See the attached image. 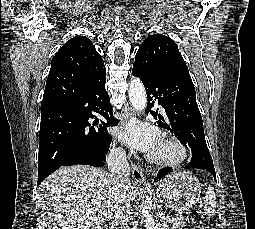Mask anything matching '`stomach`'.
Listing matches in <instances>:
<instances>
[{
	"mask_svg": "<svg viewBox=\"0 0 255 229\" xmlns=\"http://www.w3.org/2000/svg\"><path fill=\"white\" fill-rule=\"evenodd\" d=\"M156 194L167 200L176 212L193 208L201 195L198 178L189 171H175L167 175L156 189Z\"/></svg>",
	"mask_w": 255,
	"mask_h": 229,
	"instance_id": "stomach-1",
	"label": "stomach"
}]
</instances>
